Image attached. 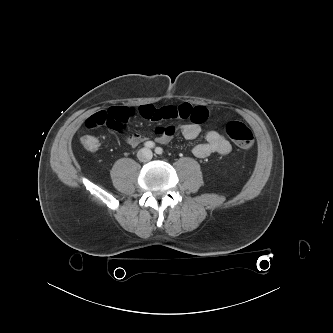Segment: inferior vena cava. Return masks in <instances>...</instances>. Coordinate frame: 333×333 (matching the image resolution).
Here are the masks:
<instances>
[{
    "label": "inferior vena cava",
    "instance_id": "602c4592",
    "mask_svg": "<svg viewBox=\"0 0 333 333\" xmlns=\"http://www.w3.org/2000/svg\"><path fill=\"white\" fill-rule=\"evenodd\" d=\"M153 156V153L150 149L148 148H143L139 153H138V158L142 162L149 161Z\"/></svg>",
    "mask_w": 333,
    "mask_h": 333
}]
</instances>
